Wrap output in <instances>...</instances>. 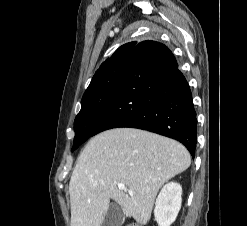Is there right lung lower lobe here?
<instances>
[{
    "label": "right lung lower lobe",
    "instance_id": "right-lung-lower-lobe-1",
    "mask_svg": "<svg viewBox=\"0 0 247 226\" xmlns=\"http://www.w3.org/2000/svg\"><path fill=\"white\" fill-rule=\"evenodd\" d=\"M132 127L178 140L194 158L197 119L188 82L162 43H137L116 93L92 135Z\"/></svg>",
    "mask_w": 247,
    "mask_h": 226
}]
</instances>
